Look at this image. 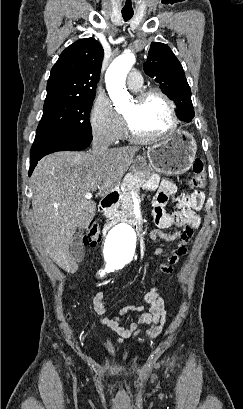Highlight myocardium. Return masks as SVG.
<instances>
[{
  "label": "myocardium",
  "instance_id": "myocardium-1",
  "mask_svg": "<svg viewBox=\"0 0 243 409\" xmlns=\"http://www.w3.org/2000/svg\"><path fill=\"white\" fill-rule=\"evenodd\" d=\"M151 96H157L166 103L168 107V111H169V116H170V125L166 130L162 131L161 133H158L155 135H144V134H140L137 131H135L131 123L129 122V120L124 116L123 119H124V124H125L127 134L129 138L135 142L147 143V142L157 141L167 136L168 134L172 133L178 126L179 119L177 116L175 103L167 94H165L160 89L147 88V89L141 90L138 93H136L134 100L137 103H142L143 101H145L147 98Z\"/></svg>",
  "mask_w": 243,
  "mask_h": 409
}]
</instances>
